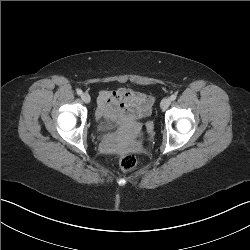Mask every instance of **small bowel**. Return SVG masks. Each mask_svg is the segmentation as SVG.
<instances>
[{
	"mask_svg": "<svg viewBox=\"0 0 250 250\" xmlns=\"http://www.w3.org/2000/svg\"><path fill=\"white\" fill-rule=\"evenodd\" d=\"M153 102L152 96L128 88L101 90L96 117L99 119L125 116L142 118L149 115Z\"/></svg>",
	"mask_w": 250,
	"mask_h": 250,
	"instance_id": "c3829d8e",
	"label": "small bowel"
}]
</instances>
